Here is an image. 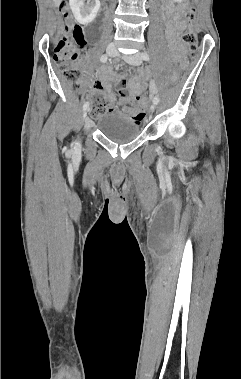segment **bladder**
I'll return each instance as SVG.
<instances>
[{"label": "bladder", "mask_w": 241, "mask_h": 379, "mask_svg": "<svg viewBox=\"0 0 241 379\" xmlns=\"http://www.w3.org/2000/svg\"><path fill=\"white\" fill-rule=\"evenodd\" d=\"M97 126L104 137L118 144L132 142L140 134L139 123L119 112L103 113Z\"/></svg>", "instance_id": "31cf9c89"}]
</instances>
